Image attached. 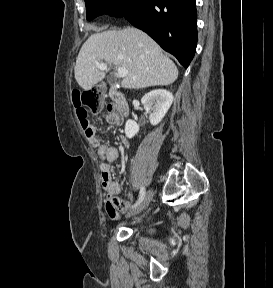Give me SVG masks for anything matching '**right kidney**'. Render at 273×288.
Wrapping results in <instances>:
<instances>
[{"label": "right kidney", "mask_w": 273, "mask_h": 288, "mask_svg": "<svg viewBox=\"0 0 273 288\" xmlns=\"http://www.w3.org/2000/svg\"><path fill=\"white\" fill-rule=\"evenodd\" d=\"M173 102V95L165 89H155L141 99L144 109L149 113L150 123L155 126L159 124ZM139 131V125L134 120H128L125 124V135L131 139Z\"/></svg>", "instance_id": "1"}]
</instances>
